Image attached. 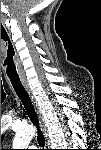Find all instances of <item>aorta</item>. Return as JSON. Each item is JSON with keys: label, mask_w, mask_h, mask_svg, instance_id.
I'll list each match as a JSON object with an SVG mask.
<instances>
[{"label": "aorta", "mask_w": 101, "mask_h": 150, "mask_svg": "<svg viewBox=\"0 0 101 150\" xmlns=\"http://www.w3.org/2000/svg\"><path fill=\"white\" fill-rule=\"evenodd\" d=\"M35 135V129L32 126H26L18 131L13 140L14 149H24L30 144Z\"/></svg>", "instance_id": "obj_1"}]
</instances>
